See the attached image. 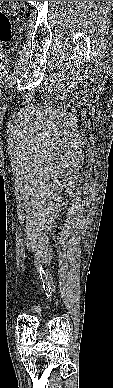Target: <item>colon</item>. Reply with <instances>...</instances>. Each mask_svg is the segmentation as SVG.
Returning a JSON list of instances; mask_svg holds the SVG:
<instances>
[{
  "mask_svg": "<svg viewBox=\"0 0 113 388\" xmlns=\"http://www.w3.org/2000/svg\"><path fill=\"white\" fill-rule=\"evenodd\" d=\"M12 38V25L6 11L0 9V50Z\"/></svg>",
  "mask_w": 113,
  "mask_h": 388,
  "instance_id": "colon-1",
  "label": "colon"
}]
</instances>
